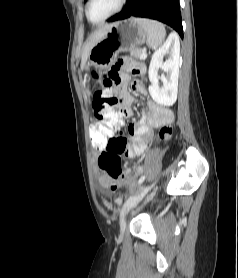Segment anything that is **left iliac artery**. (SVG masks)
I'll list each match as a JSON object with an SVG mask.
<instances>
[{"label":"left iliac artery","instance_id":"left-iliac-artery-1","mask_svg":"<svg viewBox=\"0 0 238 278\" xmlns=\"http://www.w3.org/2000/svg\"><path fill=\"white\" fill-rule=\"evenodd\" d=\"M145 175H143L140 179H139V181H138V184H141L144 180H145Z\"/></svg>","mask_w":238,"mask_h":278}]
</instances>
